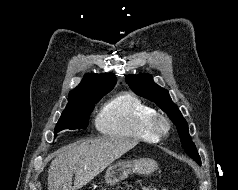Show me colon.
<instances>
[{"label": "colon", "instance_id": "1", "mask_svg": "<svg viewBox=\"0 0 238 190\" xmlns=\"http://www.w3.org/2000/svg\"><path fill=\"white\" fill-rule=\"evenodd\" d=\"M136 190H158L154 187H144V188H141V189H136Z\"/></svg>", "mask_w": 238, "mask_h": 190}]
</instances>
